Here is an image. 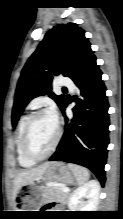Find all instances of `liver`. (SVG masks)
<instances>
[{
  "instance_id": "1",
  "label": "liver",
  "mask_w": 123,
  "mask_h": 219,
  "mask_svg": "<svg viewBox=\"0 0 123 219\" xmlns=\"http://www.w3.org/2000/svg\"><path fill=\"white\" fill-rule=\"evenodd\" d=\"M53 162H46L38 167L19 172L13 181L12 201L14 202L21 188L40 178Z\"/></svg>"
}]
</instances>
